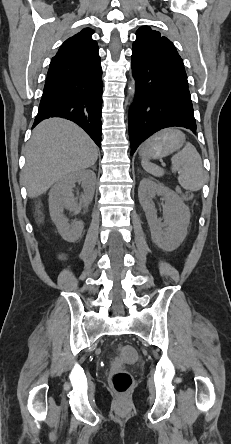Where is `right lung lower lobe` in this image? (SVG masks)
<instances>
[{
  "mask_svg": "<svg viewBox=\"0 0 231 444\" xmlns=\"http://www.w3.org/2000/svg\"><path fill=\"white\" fill-rule=\"evenodd\" d=\"M102 69L45 83L36 126L43 119L62 117L81 126L101 147Z\"/></svg>",
  "mask_w": 231,
  "mask_h": 444,
  "instance_id": "right-lung-lower-lobe-1",
  "label": "right lung lower lobe"
}]
</instances>
